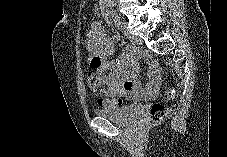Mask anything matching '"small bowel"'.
Wrapping results in <instances>:
<instances>
[{
    "label": "small bowel",
    "instance_id": "c3829d8e",
    "mask_svg": "<svg viewBox=\"0 0 227 157\" xmlns=\"http://www.w3.org/2000/svg\"><path fill=\"white\" fill-rule=\"evenodd\" d=\"M86 47L91 66L99 74L107 73L104 78L106 90L104 89L102 96L137 101L157 95L160 85L157 67L153 63L150 64L149 82L143 86L138 78L136 50L129 47L117 60L109 59L114 52L113 42L98 22H94L91 26Z\"/></svg>",
    "mask_w": 227,
    "mask_h": 157
}]
</instances>
